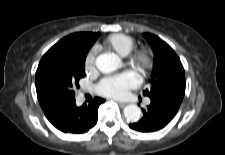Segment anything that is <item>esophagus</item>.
Returning a JSON list of instances; mask_svg holds the SVG:
<instances>
[{
	"label": "esophagus",
	"instance_id": "obj_1",
	"mask_svg": "<svg viewBox=\"0 0 225 155\" xmlns=\"http://www.w3.org/2000/svg\"><path fill=\"white\" fill-rule=\"evenodd\" d=\"M117 103L120 107H125L127 105V103L125 102H117Z\"/></svg>",
	"mask_w": 225,
	"mask_h": 155
}]
</instances>
